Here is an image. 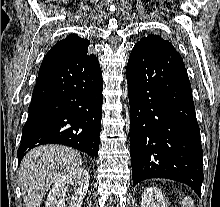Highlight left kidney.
Here are the masks:
<instances>
[{
    "label": "left kidney",
    "instance_id": "5707ae66",
    "mask_svg": "<svg viewBox=\"0 0 220 207\" xmlns=\"http://www.w3.org/2000/svg\"><path fill=\"white\" fill-rule=\"evenodd\" d=\"M141 207H166L161 191L156 187H148L141 196Z\"/></svg>",
    "mask_w": 220,
    "mask_h": 207
}]
</instances>
